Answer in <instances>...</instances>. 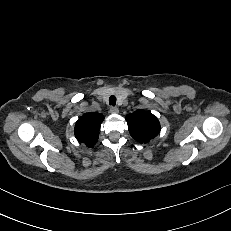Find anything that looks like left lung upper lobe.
I'll list each match as a JSON object with an SVG mask.
<instances>
[{
    "instance_id": "obj_1",
    "label": "left lung upper lobe",
    "mask_w": 231,
    "mask_h": 231,
    "mask_svg": "<svg viewBox=\"0 0 231 231\" xmlns=\"http://www.w3.org/2000/svg\"><path fill=\"white\" fill-rule=\"evenodd\" d=\"M131 136L140 143H147L160 131L158 119L150 112L139 110L126 116Z\"/></svg>"
}]
</instances>
